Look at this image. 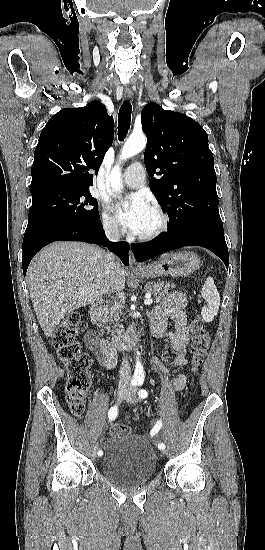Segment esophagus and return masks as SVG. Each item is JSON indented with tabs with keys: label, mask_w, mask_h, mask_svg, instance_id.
Wrapping results in <instances>:
<instances>
[{
	"label": "esophagus",
	"mask_w": 265,
	"mask_h": 550,
	"mask_svg": "<svg viewBox=\"0 0 265 550\" xmlns=\"http://www.w3.org/2000/svg\"><path fill=\"white\" fill-rule=\"evenodd\" d=\"M133 92L131 90L124 91V97L127 99L132 98ZM130 267L133 269L141 268V265L136 261L134 254L130 251L129 253Z\"/></svg>",
	"instance_id": "1"
}]
</instances>
